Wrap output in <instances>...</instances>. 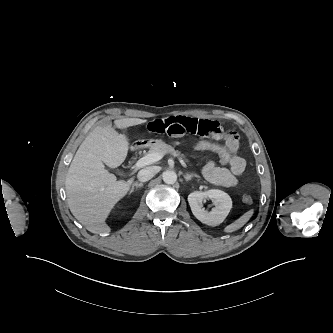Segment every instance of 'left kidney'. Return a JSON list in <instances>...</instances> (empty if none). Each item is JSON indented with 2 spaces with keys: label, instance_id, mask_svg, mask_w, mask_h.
Segmentation results:
<instances>
[{
  "label": "left kidney",
  "instance_id": "obj_1",
  "mask_svg": "<svg viewBox=\"0 0 333 333\" xmlns=\"http://www.w3.org/2000/svg\"><path fill=\"white\" fill-rule=\"evenodd\" d=\"M207 198L213 200L215 207L211 211L203 207V202ZM188 202L193 215L202 223L216 226L224 221L232 208L230 196L218 189L208 191H195L188 196Z\"/></svg>",
  "mask_w": 333,
  "mask_h": 333
}]
</instances>
